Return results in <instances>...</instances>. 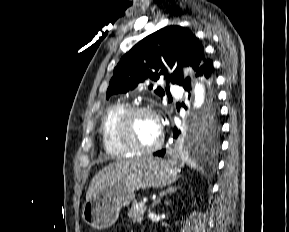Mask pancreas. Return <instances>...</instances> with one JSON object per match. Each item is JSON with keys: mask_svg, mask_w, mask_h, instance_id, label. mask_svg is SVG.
<instances>
[{"mask_svg": "<svg viewBox=\"0 0 289 232\" xmlns=\"http://www.w3.org/2000/svg\"><path fill=\"white\" fill-rule=\"evenodd\" d=\"M146 211V205L143 202H133L131 209H129L128 217L134 222V223H141L143 219V215Z\"/></svg>", "mask_w": 289, "mask_h": 232, "instance_id": "1", "label": "pancreas"}]
</instances>
